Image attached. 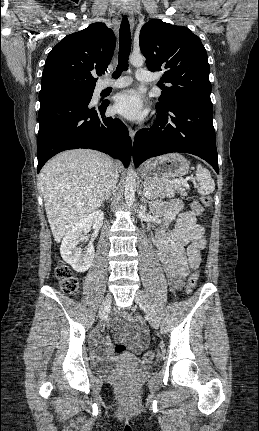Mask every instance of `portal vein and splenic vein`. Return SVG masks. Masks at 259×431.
Returning a JSON list of instances; mask_svg holds the SVG:
<instances>
[{"label":"portal vein and splenic vein","mask_w":259,"mask_h":431,"mask_svg":"<svg viewBox=\"0 0 259 431\" xmlns=\"http://www.w3.org/2000/svg\"><path fill=\"white\" fill-rule=\"evenodd\" d=\"M174 182L184 184L188 187L187 180H185V179L174 180ZM144 195L148 197L150 195V191L145 189Z\"/></svg>","instance_id":"1"}]
</instances>
